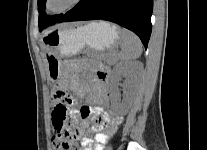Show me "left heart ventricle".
<instances>
[{"mask_svg": "<svg viewBox=\"0 0 207 150\" xmlns=\"http://www.w3.org/2000/svg\"><path fill=\"white\" fill-rule=\"evenodd\" d=\"M72 0H50V8L52 10H60L71 3Z\"/></svg>", "mask_w": 207, "mask_h": 150, "instance_id": "left-heart-ventricle-1", "label": "left heart ventricle"}]
</instances>
